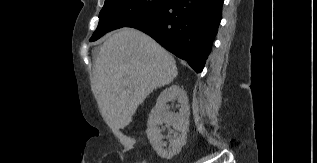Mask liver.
Returning <instances> with one entry per match:
<instances>
[{"label":"liver","mask_w":317,"mask_h":163,"mask_svg":"<svg viewBox=\"0 0 317 163\" xmlns=\"http://www.w3.org/2000/svg\"><path fill=\"white\" fill-rule=\"evenodd\" d=\"M178 72L174 58L145 33L124 27L110 33L94 62L92 92L112 130L132 122L138 106Z\"/></svg>","instance_id":"1"}]
</instances>
